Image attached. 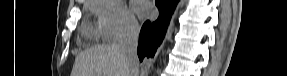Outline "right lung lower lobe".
Here are the masks:
<instances>
[{"instance_id": "1", "label": "right lung lower lobe", "mask_w": 287, "mask_h": 76, "mask_svg": "<svg viewBox=\"0 0 287 76\" xmlns=\"http://www.w3.org/2000/svg\"><path fill=\"white\" fill-rule=\"evenodd\" d=\"M177 2L178 0H155V4L159 9V17L156 21H147L142 26L137 49L140 61L145 57L154 56L157 47L165 36L169 20Z\"/></svg>"}]
</instances>
